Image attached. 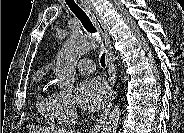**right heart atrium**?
I'll use <instances>...</instances> for the list:
<instances>
[{"label":"right heart atrium","mask_w":184,"mask_h":133,"mask_svg":"<svg viewBox=\"0 0 184 133\" xmlns=\"http://www.w3.org/2000/svg\"><path fill=\"white\" fill-rule=\"evenodd\" d=\"M57 108L62 121H70L76 117V107L71 96L67 93H58Z\"/></svg>","instance_id":"d8ad5b80"}]
</instances>
